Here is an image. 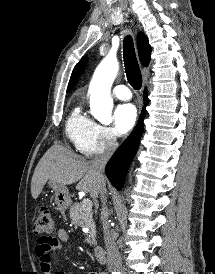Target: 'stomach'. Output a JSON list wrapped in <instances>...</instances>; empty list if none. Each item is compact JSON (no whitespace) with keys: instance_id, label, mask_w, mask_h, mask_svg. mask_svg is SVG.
<instances>
[{"instance_id":"0dacf381","label":"stomach","mask_w":215,"mask_h":274,"mask_svg":"<svg viewBox=\"0 0 215 274\" xmlns=\"http://www.w3.org/2000/svg\"><path fill=\"white\" fill-rule=\"evenodd\" d=\"M48 186L55 192V203L61 210H66L70 203L69 190L65 185H61L53 180L48 181Z\"/></svg>"}]
</instances>
